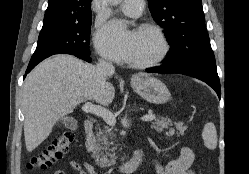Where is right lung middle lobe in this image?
<instances>
[{"mask_svg": "<svg viewBox=\"0 0 249 174\" xmlns=\"http://www.w3.org/2000/svg\"><path fill=\"white\" fill-rule=\"evenodd\" d=\"M91 23L90 17L85 21L42 29L39 34L37 48L30 62H36L54 54H90Z\"/></svg>", "mask_w": 249, "mask_h": 174, "instance_id": "obj_1", "label": "right lung middle lobe"}]
</instances>
